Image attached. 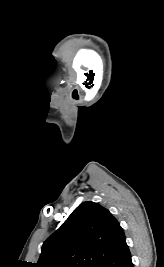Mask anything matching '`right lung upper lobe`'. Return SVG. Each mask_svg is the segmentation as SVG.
I'll return each mask as SVG.
<instances>
[{
  "mask_svg": "<svg viewBox=\"0 0 164 267\" xmlns=\"http://www.w3.org/2000/svg\"><path fill=\"white\" fill-rule=\"evenodd\" d=\"M126 244L114 216L97 203L86 201L42 246L36 267H99Z\"/></svg>",
  "mask_w": 164,
  "mask_h": 267,
  "instance_id": "1",
  "label": "right lung upper lobe"
}]
</instances>
